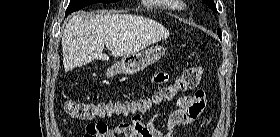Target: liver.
<instances>
[{
    "label": "liver",
    "mask_w": 280,
    "mask_h": 137,
    "mask_svg": "<svg viewBox=\"0 0 280 137\" xmlns=\"http://www.w3.org/2000/svg\"><path fill=\"white\" fill-rule=\"evenodd\" d=\"M169 31L160 23L129 14H74L62 35L63 65L66 72L93 60H108L106 46L114 57L134 54L165 39Z\"/></svg>",
    "instance_id": "obj_1"
}]
</instances>
